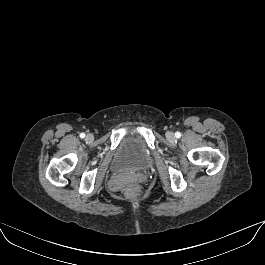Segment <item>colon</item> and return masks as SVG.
Masks as SVG:
<instances>
[{
	"instance_id": "1",
	"label": "colon",
	"mask_w": 265,
	"mask_h": 265,
	"mask_svg": "<svg viewBox=\"0 0 265 265\" xmlns=\"http://www.w3.org/2000/svg\"><path fill=\"white\" fill-rule=\"evenodd\" d=\"M139 190L136 186H129L125 189V195L128 198H135L138 196Z\"/></svg>"
}]
</instances>
